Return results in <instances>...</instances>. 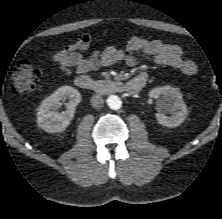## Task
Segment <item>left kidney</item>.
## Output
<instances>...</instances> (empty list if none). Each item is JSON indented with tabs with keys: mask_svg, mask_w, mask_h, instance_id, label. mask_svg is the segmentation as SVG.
Segmentation results:
<instances>
[{
	"mask_svg": "<svg viewBox=\"0 0 222 219\" xmlns=\"http://www.w3.org/2000/svg\"><path fill=\"white\" fill-rule=\"evenodd\" d=\"M151 98H159L157 103L156 119L159 124L166 127L179 126L186 119L187 107L178 88L166 85L154 88L149 92ZM170 113V116L164 115Z\"/></svg>",
	"mask_w": 222,
	"mask_h": 219,
	"instance_id": "obj_1",
	"label": "left kidney"
}]
</instances>
